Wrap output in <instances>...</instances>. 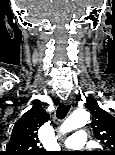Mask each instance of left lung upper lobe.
Returning <instances> with one entry per match:
<instances>
[{
	"label": "left lung upper lobe",
	"instance_id": "5c2ea615",
	"mask_svg": "<svg viewBox=\"0 0 115 155\" xmlns=\"http://www.w3.org/2000/svg\"><path fill=\"white\" fill-rule=\"evenodd\" d=\"M86 107L92 113L94 136L106 148L98 155H115V117L101 109L94 98L87 99Z\"/></svg>",
	"mask_w": 115,
	"mask_h": 155
}]
</instances>
